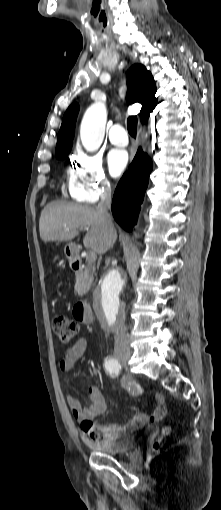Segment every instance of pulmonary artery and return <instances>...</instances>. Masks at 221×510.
Instances as JSON below:
<instances>
[{
    "label": "pulmonary artery",
    "mask_w": 221,
    "mask_h": 510,
    "mask_svg": "<svg viewBox=\"0 0 221 510\" xmlns=\"http://www.w3.org/2000/svg\"><path fill=\"white\" fill-rule=\"evenodd\" d=\"M109 139L113 145L124 147L128 145L129 139L126 129L121 124H114L109 131Z\"/></svg>",
    "instance_id": "1"
}]
</instances>
